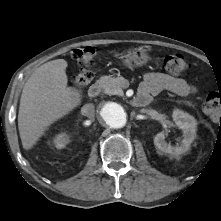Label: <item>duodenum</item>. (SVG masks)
<instances>
[{
	"label": "duodenum",
	"instance_id": "1",
	"mask_svg": "<svg viewBox=\"0 0 221 221\" xmlns=\"http://www.w3.org/2000/svg\"><path fill=\"white\" fill-rule=\"evenodd\" d=\"M101 91V83L95 82L92 84L88 90V95L91 98L97 97ZM152 98L150 95L146 93H139L134 99L132 100V103L136 107H144L151 103Z\"/></svg>",
	"mask_w": 221,
	"mask_h": 221
}]
</instances>
